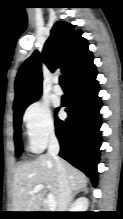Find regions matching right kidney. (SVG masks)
<instances>
[{"label":"right kidney","mask_w":123,"mask_h":219,"mask_svg":"<svg viewBox=\"0 0 123 219\" xmlns=\"http://www.w3.org/2000/svg\"><path fill=\"white\" fill-rule=\"evenodd\" d=\"M89 201L85 197L78 198L70 207V212H86Z\"/></svg>","instance_id":"right-kidney-1"}]
</instances>
